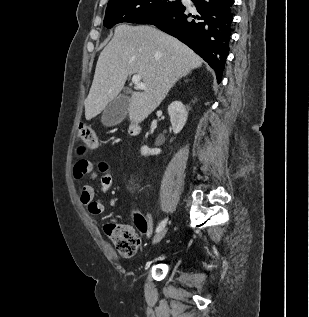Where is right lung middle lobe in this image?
Returning <instances> with one entry per match:
<instances>
[{"mask_svg": "<svg viewBox=\"0 0 309 317\" xmlns=\"http://www.w3.org/2000/svg\"><path fill=\"white\" fill-rule=\"evenodd\" d=\"M181 0H109L104 26L121 22L137 23L143 18L181 6Z\"/></svg>", "mask_w": 309, "mask_h": 317, "instance_id": "1", "label": "right lung middle lobe"}]
</instances>
